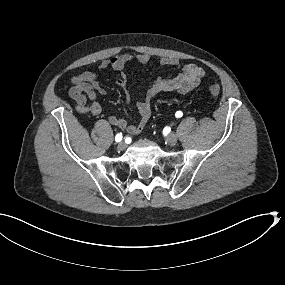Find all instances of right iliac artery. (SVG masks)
<instances>
[{
    "label": "right iliac artery",
    "mask_w": 285,
    "mask_h": 285,
    "mask_svg": "<svg viewBox=\"0 0 285 285\" xmlns=\"http://www.w3.org/2000/svg\"><path fill=\"white\" fill-rule=\"evenodd\" d=\"M122 140V133H118L115 137L116 142H120Z\"/></svg>",
    "instance_id": "1"
}]
</instances>
